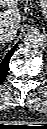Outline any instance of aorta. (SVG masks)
Here are the masks:
<instances>
[{"instance_id":"762f6f07","label":"aorta","mask_w":47,"mask_h":129,"mask_svg":"<svg viewBox=\"0 0 47 129\" xmlns=\"http://www.w3.org/2000/svg\"><path fill=\"white\" fill-rule=\"evenodd\" d=\"M45 37L38 31H29L23 38V44L31 50H38L45 46Z\"/></svg>"}]
</instances>
